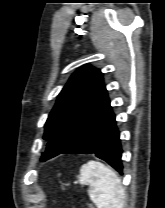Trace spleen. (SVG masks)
Segmentation results:
<instances>
[{
	"label": "spleen",
	"instance_id": "spleen-1",
	"mask_svg": "<svg viewBox=\"0 0 165 208\" xmlns=\"http://www.w3.org/2000/svg\"><path fill=\"white\" fill-rule=\"evenodd\" d=\"M79 183L89 185L88 194L97 208H123L125 193L115 172L97 161L80 168Z\"/></svg>",
	"mask_w": 165,
	"mask_h": 208
}]
</instances>
